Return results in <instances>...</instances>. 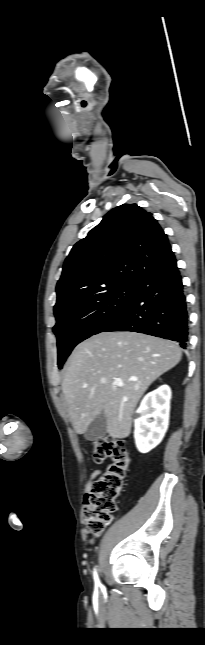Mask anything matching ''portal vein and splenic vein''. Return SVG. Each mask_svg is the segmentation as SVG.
<instances>
[{
	"label": "portal vein and splenic vein",
	"instance_id": "18ae733b",
	"mask_svg": "<svg viewBox=\"0 0 205 645\" xmlns=\"http://www.w3.org/2000/svg\"><path fill=\"white\" fill-rule=\"evenodd\" d=\"M114 384L118 387H122L124 385L121 379H115Z\"/></svg>",
	"mask_w": 205,
	"mask_h": 645
}]
</instances>
